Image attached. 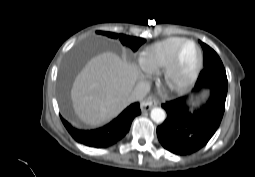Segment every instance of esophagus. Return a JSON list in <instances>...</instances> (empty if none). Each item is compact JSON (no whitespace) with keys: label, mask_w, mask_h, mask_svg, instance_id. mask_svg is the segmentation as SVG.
Listing matches in <instances>:
<instances>
[{"label":"esophagus","mask_w":255,"mask_h":177,"mask_svg":"<svg viewBox=\"0 0 255 177\" xmlns=\"http://www.w3.org/2000/svg\"><path fill=\"white\" fill-rule=\"evenodd\" d=\"M157 102L152 97H148L145 100H143L140 104L141 111L145 112L150 110L152 107L156 106Z\"/></svg>","instance_id":"esophagus-1"}]
</instances>
